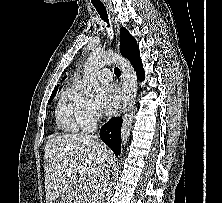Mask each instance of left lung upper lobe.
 <instances>
[{
    "instance_id": "1",
    "label": "left lung upper lobe",
    "mask_w": 222,
    "mask_h": 203,
    "mask_svg": "<svg viewBox=\"0 0 222 203\" xmlns=\"http://www.w3.org/2000/svg\"><path fill=\"white\" fill-rule=\"evenodd\" d=\"M120 52L127 59L130 58L139 48L135 38L124 27L120 29Z\"/></svg>"
}]
</instances>
